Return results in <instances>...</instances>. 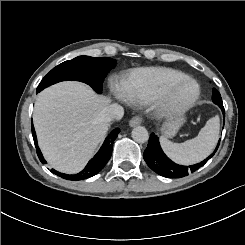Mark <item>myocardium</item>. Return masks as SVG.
Listing matches in <instances>:
<instances>
[{
    "label": "myocardium",
    "mask_w": 245,
    "mask_h": 245,
    "mask_svg": "<svg viewBox=\"0 0 245 245\" xmlns=\"http://www.w3.org/2000/svg\"><path fill=\"white\" fill-rule=\"evenodd\" d=\"M191 83L195 87L194 95L191 99L185 102H177L172 99V92L186 84ZM200 95V87L199 84L193 80L192 78H183L180 80L172 81L165 83L160 88L156 90V92L152 96V100L156 109L164 115H177L181 114L188 109H190L195 102L198 100Z\"/></svg>",
    "instance_id": "1"
}]
</instances>
